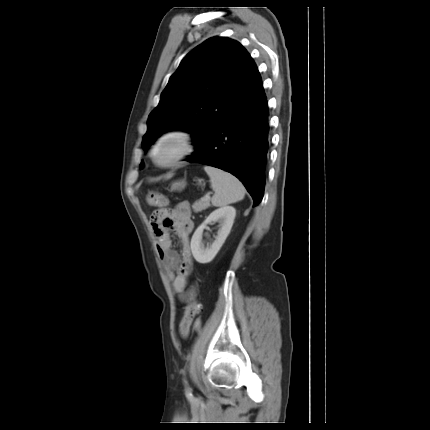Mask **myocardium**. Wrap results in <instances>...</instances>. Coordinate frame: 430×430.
<instances>
[{
  "label": "myocardium",
  "instance_id": "myocardium-1",
  "mask_svg": "<svg viewBox=\"0 0 430 430\" xmlns=\"http://www.w3.org/2000/svg\"><path fill=\"white\" fill-rule=\"evenodd\" d=\"M169 140H176L179 144V149L167 160L162 161L159 158V151L161 147ZM193 150V138L187 131L171 129L163 132L154 140L150 147L149 155L155 165L162 168H168L187 158L193 152Z\"/></svg>",
  "mask_w": 430,
  "mask_h": 430
}]
</instances>
